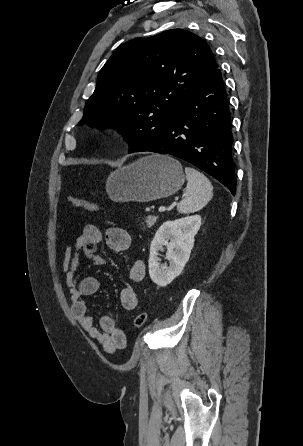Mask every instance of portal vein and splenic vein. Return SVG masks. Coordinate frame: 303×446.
<instances>
[{"mask_svg":"<svg viewBox=\"0 0 303 446\" xmlns=\"http://www.w3.org/2000/svg\"><path fill=\"white\" fill-rule=\"evenodd\" d=\"M165 210H166V208L164 206H160L158 209L159 212H164Z\"/></svg>","mask_w":303,"mask_h":446,"instance_id":"obj_1","label":"portal vein and splenic vein"}]
</instances>
